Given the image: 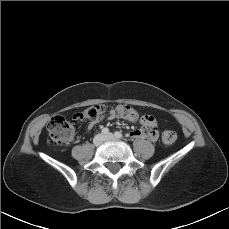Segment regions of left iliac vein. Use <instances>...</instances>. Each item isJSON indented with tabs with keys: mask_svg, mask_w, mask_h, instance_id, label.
Wrapping results in <instances>:
<instances>
[{
	"mask_svg": "<svg viewBox=\"0 0 229 229\" xmlns=\"http://www.w3.org/2000/svg\"><path fill=\"white\" fill-rule=\"evenodd\" d=\"M115 139H117V138L112 133H109L108 135L105 136V140H115Z\"/></svg>",
	"mask_w": 229,
	"mask_h": 229,
	"instance_id": "left-iliac-vein-1",
	"label": "left iliac vein"
}]
</instances>
